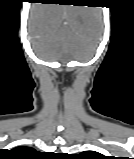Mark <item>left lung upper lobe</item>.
Segmentation results:
<instances>
[{
  "label": "left lung upper lobe",
  "instance_id": "obj_1",
  "mask_svg": "<svg viewBox=\"0 0 134 159\" xmlns=\"http://www.w3.org/2000/svg\"><path fill=\"white\" fill-rule=\"evenodd\" d=\"M75 159H105L103 155L95 151H85L74 157Z\"/></svg>",
  "mask_w": 134,
  "mask_h": 159
}]
</instances>
